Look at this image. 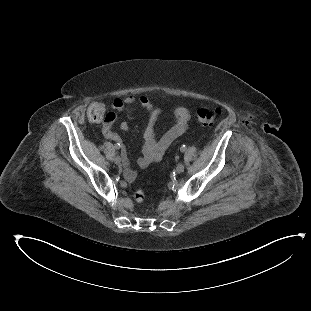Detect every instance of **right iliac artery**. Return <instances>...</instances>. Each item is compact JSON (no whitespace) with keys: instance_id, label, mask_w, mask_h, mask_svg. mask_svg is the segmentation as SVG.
<instances>
[{"instance_id":"right-iliac-artery-1","label":"right iliac artery","mask_w":311,"mask_h":311,"mask_svg":"<svg viewBox=\"0 0 311 311\" xmlns=\"http://www.w3.org/2000/svg\"><path fill=\"white\" fill-rule=\"evenodd\" d=\"M114 147H115V149H120L121 148V144L120 143H116Z\"/></svg>"}]
</instances>
